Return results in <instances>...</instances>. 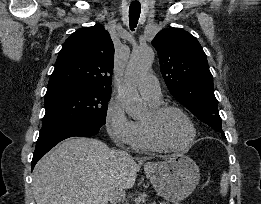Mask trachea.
<instances>
[{
  "label": "trachea",
  "mask_w": 261,
  "mask_h": 204,
  "mask_svg": "<svg viewBox=\"0 0 261 204\" xmlns=\"http://www.w3.org/2000/svg\"><path fill=\"white\" fill-rule=\"evenodd\" d=\"M140 9H141L140 5L131 4L129 7V26L132 31L137 26L138 19L140 17Z\"/></svg>",
  "instance_id": "obj_1"
}]
</instances>
